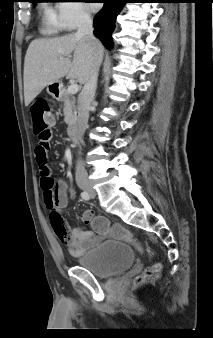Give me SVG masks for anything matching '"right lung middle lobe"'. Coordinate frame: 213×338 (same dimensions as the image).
I'll use <instances>...</instances> for the list:
<instances>
[{
  "instance_id": "1",
  "label": "right lung middle lobe",
  "mask_w": 213,
  "mask_h": 338,
  "mask_svg": "<svg viewBox=\"0 0 213 338\" xmlns=\"http://www.w3.org/2000/svg\"><path fill=\"white\" fill-rule=\"evenodd\" d=\"M37 3V0H33V4L35 5Z\"/></svg>"
}]
</instances>
